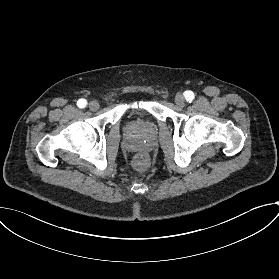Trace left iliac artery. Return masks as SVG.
<instances>
[{"mask_svg":"<svg viewBox=\"0 0 279 279\" xmlns=\"http://www.w3.org/2000/svg\"><path fill=\"white\" fill-rule=\"evenodd\" d=\"M184 96H185L187 102H192L194 99V93L192 91H185Z\"/></svg>","mask_w":279,"mask_h":279,"instance_id":"left-iliac-artery-1","label":"left iliac artery"}]
</instances>
